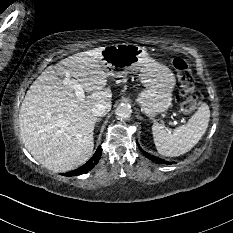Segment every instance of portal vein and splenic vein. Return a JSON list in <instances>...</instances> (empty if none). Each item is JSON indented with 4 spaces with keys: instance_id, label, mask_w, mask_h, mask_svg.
Segmentation results:
<instances>
[{
    "instance_id": "18ae733b",
    "label": "portal vein and splenic vein",
    "mask_w": 233,
    "mask_h": 233,
    "mask_svg": "<svg viewBox=\"0 0 233 233\" xmlns=\"http://www.w3.org/2000/svg\"><path fill=\"white\" fill-rule=\"evenodd\" d=\"M64 84L70 85V87L75 90V94L80 100H83L85 98L83 87L76 81H70V79L66 77L64 78Z\"/></svg>"
}]
</instances>
